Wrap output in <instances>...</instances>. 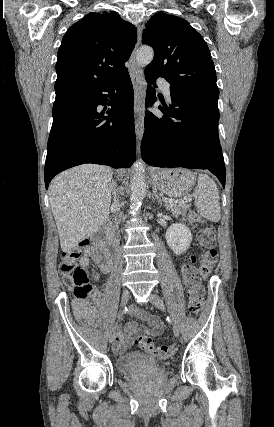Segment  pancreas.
Listing matches in <instances>:
<instances>
[{
	"instance_id": "obj_1",
	"label": "pancreas",
	"mask_w": 274,
	"mask_h": 427,
	"mask_svg": "<svg viewBox=\"0 0 274 427\" xmlns=\"http://www.w3.org/2000/svg\"><path fill=\"white\" fill-rule=\"evenodd\" d=\"M166 208L171 214L178 217V215H184L187 210H190V204H166Z\"/></svg>"
}]
</instances>
